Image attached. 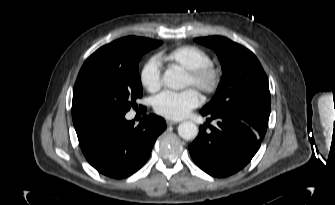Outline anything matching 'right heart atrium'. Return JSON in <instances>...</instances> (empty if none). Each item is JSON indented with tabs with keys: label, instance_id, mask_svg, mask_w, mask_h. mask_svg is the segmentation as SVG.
<instances>
[{
	"label": "right heart atrium",
	"instance_id": "right-heart-atrium-1",
	"mask_svg": "<svg viewBox=\"0 0 335 205\" xmlns=\"http://www.w3.org/2000/svg\"><path fill=\"white\" fill-rule=\"evenodd\" d=\"M162 68L157 57L149 58L140 72V81L149 92H156L161 87Z\"/></svg>",
	"mask_w": 335,
	"mask_h": 205
}]
</instances>
